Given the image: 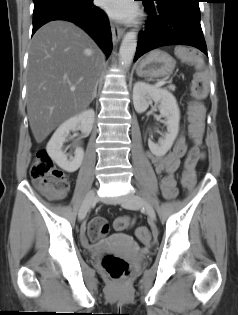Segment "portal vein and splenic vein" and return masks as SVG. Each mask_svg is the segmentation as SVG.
I'll use <instances>...</instances> for the list:
<instances>
[{"label":"portal vein and splenic vein","mask_w":238,"mask_h":315,"mask_svg":"<svg viewBox=\"0 0 238 315\" xmlns=\"http://www.w3.org/2000/svg\"><path fill=\"white\" fill-rule=\"evenodd\" d=\"M166 83H167V80L165 79V80H162V81L157 82L155 85H156V86H163V85H165ZM70 90H71V91H75V87H71Z\"/></svg>","instance_id":"1"}]
</instances>
